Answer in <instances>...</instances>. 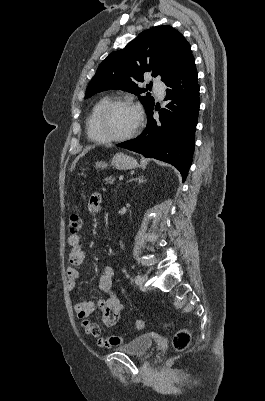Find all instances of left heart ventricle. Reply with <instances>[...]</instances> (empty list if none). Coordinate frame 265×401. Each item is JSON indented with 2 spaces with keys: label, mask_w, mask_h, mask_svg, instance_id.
Returning a JSON list of instances; mask_svg holds the SVG:
<instances>
[{
  "label": "left heart ventricle",
  "mask_w": 265,
  "mask_h": 401,
  "mask_svg": "<svg viewBox=\"0 0 265 401\" xmlns=\"http://www.w3.org/2000/svg\"><path fill=\"white\" fill-rule=\"evenodd\" d=\"M137 112L130 105H118L110 109L102 118L100 129L108 137L121 136L133 129Z\"/></svg>",
  "instance_id": "left-heart-ventricle-1"
}]
</instances>
